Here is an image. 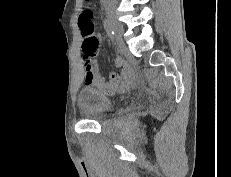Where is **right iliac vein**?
<instances>
[{"mask_svg":"<svg viewBox=\"0 0 231 177\" xmlns=\"http://www.w3.org/2000/svg\"><path fill=\"white\" fill-rule=\"evenodd\" d=\"M107 19L111 23L113 30L115 31L117 40L121 42V37L123 33V25L117 20L114 9L108 8L106 11Z\"/></svg>","mask_w":231,"mask_h":177,"instance_id":"63e3f726","label":"right iliac vein"}]
</instances>
